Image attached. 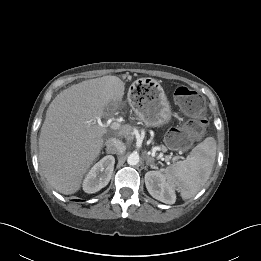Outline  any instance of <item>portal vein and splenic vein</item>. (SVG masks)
<instances>
[{
  "mask_svg": "<svg viewBox=\"0 0 261 261\" xmlns=\"http://www.w3.org/2000/svg\"><path fill=\"white\" fill-rule=\"evenodd\" d=\"M98 125L102 128L110 127L112 130H119L121 128V125L118 121H114L110 124H103L100 120V118L97 119ZM167 161L170 159V157H166Z\"/></svg>",
  "mask_w": 261,
  "mask_h": 261,
  "instance_id": "obj_1",
  "label": "portal vein and splenic vein"
}]
</instances>
